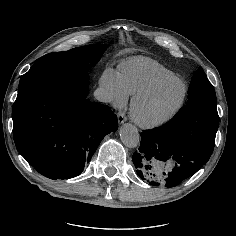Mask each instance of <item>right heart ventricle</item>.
<instances>
[{"mask_svg":"<svg viewBox=\"0 0 236 236\" xmlns=\"http://www.w3.org/2000/svg\"><path fill=\"white\" fill-rule=\"evenodd\" d=\"M118 70L129 95H134L155 80L175 76L172 70L145 56H131L122 59Z\"/></svg>","mask_w":236,"mask_h":236,"instance_id":"e07e8e85","label":"right heart ventricle"}]
</instances>
